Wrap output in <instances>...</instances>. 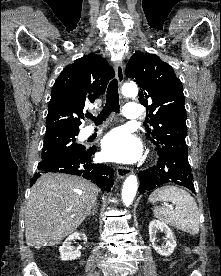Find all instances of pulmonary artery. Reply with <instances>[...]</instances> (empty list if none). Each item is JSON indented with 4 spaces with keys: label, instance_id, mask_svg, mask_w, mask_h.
Instances as JSON below:
<instances>
[{
    "label": "pulmonary artery",
    "instance_id": "e3ab8cb5",
    "mask_svg": "<svg viewBox=\"0 0 221 276\" xmlns=\"http://www.w3.org/2000/svg\"><path fill=\"white\" fill-rule=\"evenodd\" d=\"M124 115L128 119H132V120L140 119V117H141V110H140L139 105L134 104V103H128L125 106ZM93 132H94V128L93 127H87V128H85V130L83 132V135L85 137H87V136L91 135Z\"/></svg>",
    "mask_w": 221,
    "mask_h": 276
}]
</instances>
